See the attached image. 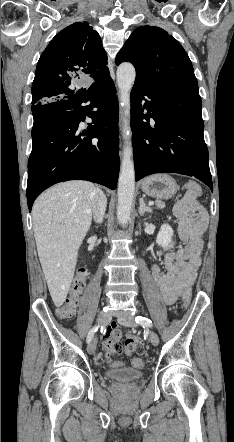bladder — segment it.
<instances>
[{
    "label": "bladder",
    "mask_w": 234,
    "mask_h": 442,
    "mask_svg": "<svg viewBox=\"0 0 234 442\" xmlns=\"http://www.w3.org/2000/svg\"><path fill=\"white\" fill-rule=\"evenodd\" d=\"M110 380L122 383L134 382L144 378L145 373L141 369L131 367L115 368L107 372Z\"/></svg>",
    "instance_id": "31cf9c89"
}]
</instances>
